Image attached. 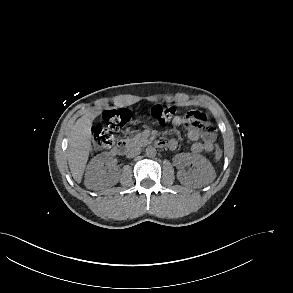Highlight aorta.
<instances>
[{"label": "aorta", "instance_id": "aorta-1", "mask_svg": "<svg viewBox=\"0 0 293 293\" xmlns=\"http://www.w3.org/2000/svg\"><path fill=\"white\" fill-rule=\"evenodd\" d=\"M145 154H146L147 157L153 158V157L156 156L157 151H156V149L154 147L149 146V147L146 148Z\"/></svg>", "mask_w": 293, "mask_h": 293}]
</instances>
